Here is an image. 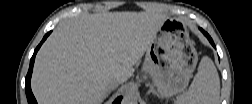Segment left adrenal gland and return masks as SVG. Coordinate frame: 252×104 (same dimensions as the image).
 Segmentation results:
<instances>
[{"instance_id":"a2214340","label":"left adrenal gland","mask_w":252,"mask_h":104,"mask_svg":"<svg viewBox=\"0 0 252 104\" xmlns=\"http://www.w3.org/2000/svg\"><path fill=\"white\" fill-rule=\"evenodd\" d=\"M147 86H149L148 94L153 93L158 96L157 92L155 91L154 87L151 84H147Z\"/></svg>"}]
</instances>
